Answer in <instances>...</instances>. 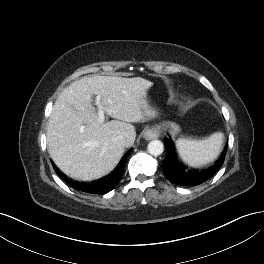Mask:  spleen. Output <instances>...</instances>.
Instances as JSON below:
<instances>
[{"label": "spleen", "instance_id": "1", "mask_svg": "<svg viewBox=\"0 0 264 264\" xmlns=\"http://www.w3.org/2000/svg\"><path fill=\"white\" fill-rule=\"evenodd\" d=\"M224 134L217 132L204 140H176L181 159L193 166H203L217 159L223 148Z\"/></svg>", "mask_w": 264, "mask_h": 264}]
</instances>
